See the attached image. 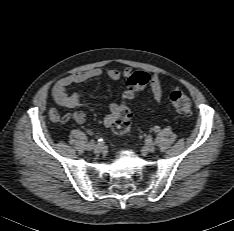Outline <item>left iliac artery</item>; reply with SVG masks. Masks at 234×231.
<instances>
[{
    "instance_id": "left-iliac-artery-1",
    "label": "left iliac artery",
    "mask_w": 234,
    "mask_h": 231,
    "mask_svg": "<svg viewBox=\"0 0 234 231\" xmlns=\"http://www.w3.org/2000/svg\"><path fill=\"white\" fill-rule=\"evenodd\" d=\"M153 131H154L155 133L159 132V131H160V127H159V126H155V127L153 128Z\"/></svg>"
}]
</instances>
